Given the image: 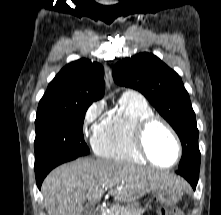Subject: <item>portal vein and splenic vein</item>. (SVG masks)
Here are the masks:
<instances>
[{
	"mask_svg": "<svg viewBox=\"0 0 221 215\" xmlns=\"http://www.w3.org/2000/svg\"><path fill=\"white\" fill-rule=\"evenodd\" d=\"M106 186H112V184H107Z\"/></svg>",
	"mask_w": 221,
	"mask_h": 215,
	"instance_id": "obj_1",
	"label": "portal vein and splenic vein"
}]
</instances>
